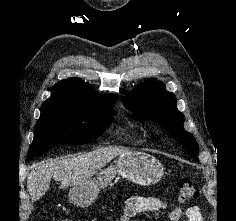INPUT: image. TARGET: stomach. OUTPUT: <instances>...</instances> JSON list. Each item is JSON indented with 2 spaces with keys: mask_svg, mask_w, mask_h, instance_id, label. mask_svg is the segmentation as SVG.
Segmentation results:
<instances>
[{
  "mask_svg": "<svg viewBox=\"0 0 236 221\" xmlns=\"http://www.w3.org/2000/svg\"><path fill=\"white\" fill-rule=\"evenodd\" d=\"M142 186L157 183L164 174L159 160L142 152H126L110 165L102 169L97 177L72 186L69 200L76 206L85 207L94 202L101 188L107 187L116 174Z\"/></svg>",
  "mask_w": 236,
  "mask_h": 221,
  "instance_id": "stomach-1",
  "label": "stomach"
}]
</instances>
